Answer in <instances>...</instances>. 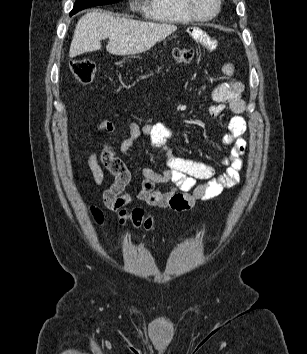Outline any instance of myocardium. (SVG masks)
I'll use <instances>...</instances> for the list:
<instances>
[{"label":"myocardium","instance_id":"f54148a6","mask_svg":"<svg viewBox=\"0 0 307 354\" xmlns=\"http://www.w3.org/2000/svg\"><path fill=\"white\" fill-rule=\"evenodd\" d=\"M182 1V8L185 13L191 17V19L196 21H210L215 18L221 9L222 0H216V8L214 12L208 16L199 15L193 8L192 0H181Z\"/></svg>","mask_w":307,"mask_h":354}]
</instances>
